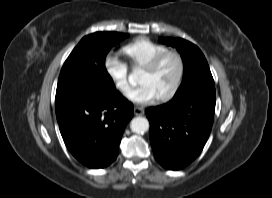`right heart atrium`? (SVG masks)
<instances>
[{"label":"right heart atrium","instance_id":"right-heart-atrium-1","mask_svg":"<svg viewBox=\"0 0 272 198\" xmlns=\"http://www.w3.org/2000/svg\"><path fill=\"white\" fill-rule=\"evenodd\" d=\"M105 73L120 91L125 92L129 87V68L117 54L108 53L103 61Z\"/></svg>","mask_w":272,"mask_h":198}]
</instances>
